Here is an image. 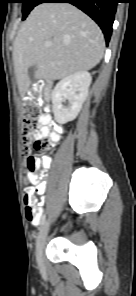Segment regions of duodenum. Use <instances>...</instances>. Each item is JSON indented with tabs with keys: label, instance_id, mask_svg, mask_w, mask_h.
Segmentation results:
<instances>
[{
	"label": "duodenum",
	"instance_id": "duodenum-1",
	"mask_svg": "<svg viewBox=\"0 0 136 296\" xmlns=\"http://www.w3.org/2000/svg\"><path fill=\"white\" fill-rule=\"evenodd\" d=\"M50 86V82L46 83H40L34 88L35 93H42V92H47Z\"/></svg>",
	"mask_w": 136,
	"mask_h": 296
}]
</instances>
